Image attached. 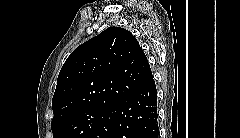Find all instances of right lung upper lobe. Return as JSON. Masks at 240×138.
Instances as JSON below:
<instances>
[{
    "instance_id": "right-lung-upper-lobe-1",
    "label": "right lung upper lobe",
    "mask_w": 240,
    "mask_h": 138,
    "mask_svg": "<svg viewBox=\"0 0 240 138\" xmlns=\"http://www.w3.org/2000/svg\"><path fill=\"white\" fill-rule=\"evenodd\" d=\"M152 80L137 39L126 29L110 27L65 61L52 100V121L89 108L109 109Z\"/></svg>"
}]
</instances>
